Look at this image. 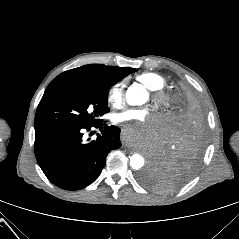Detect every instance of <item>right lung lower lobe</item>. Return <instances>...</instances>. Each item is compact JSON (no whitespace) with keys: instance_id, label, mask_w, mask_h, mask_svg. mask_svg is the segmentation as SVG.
<instances>
[{"instance_id":"obj_1","label":"right lung lower lobe","mask_w":239,"mask_h":239,"mask_svg":"<svg viewBox=\"0 0 239 239\" xmlns=\"http://www.w3.org/2000/svg\"><path fill=\"white\" fill-rule=\"evenodd\" d=\"M99 128L96 140L83 142V131ZM120 129L101 120L93 126H36L34 150L46 177L65 190H79L97 179L111 150L121 146Z\"/></svg>"}]
</instances>
